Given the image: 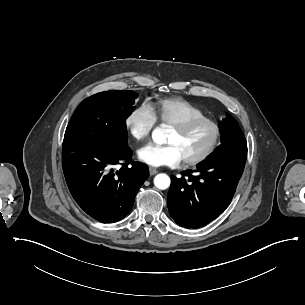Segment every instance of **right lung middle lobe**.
Wrapping results in <instances>:
<instances>
[{
  "label": "right lung middle lobe",
  "mask_w": 305,
  "mask_h": 305,
  "mask_svg": "<svg viewBox=\"0 0 305 305\" xmlns=\"http://www.w3.org/2000/svg\"><path fill=\"white\" fill-rule=\"evenodd\" d=\"M133 91H106L86 98L65 131L63 147L73 144L111 149L127 145L126 119L135 109Z\"/></svg>",
  "instance_id": "right-lung-middle-lobe-1"
}]
</instances>
